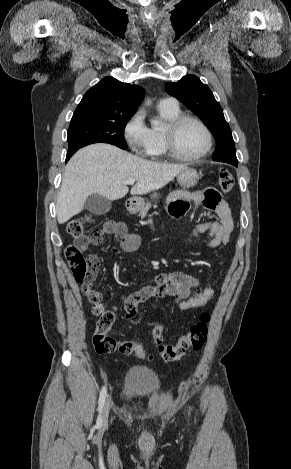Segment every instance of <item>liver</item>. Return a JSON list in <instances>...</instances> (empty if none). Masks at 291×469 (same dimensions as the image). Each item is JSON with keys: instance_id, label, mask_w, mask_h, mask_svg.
<instances>
[{"instance_id": "liver-1", "label": "liver", "mask_w": 291, "mask_h": 469, "mask_svg": "<svg viewBox=\"0 0 291 469\" xmlns=\"http://www.w3.org/2000/svg\"><path fill=\"white\" fill-rule=\"evenodd\" d=\"M188 167L181 164L152 162L113 145L86 146L68 162L56 203L57 220L64 224L79 214L88 196L96 193L110 201L126 196L128 179L137 183L131 195L146 194L167 185Z\"/></svg>"}]
</instances>
